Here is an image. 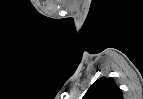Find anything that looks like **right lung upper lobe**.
Returning a JSON list of instances; mask_svg holds the SVG:
<instances>
[{
  "instance_id": "right-lung-upper-lobe-1",
  "label": "right lung upper lobe",
  "mask_w": 143,
  "mask_h": 99,
  "mask_svg": "<svg viewBox=\"0 0 143 99\" xmlns=\"http://www.w3.org/2000/svg\"><path fill=\"white\" fill-rule=\"evenodd\" d=\"M82 99H123V95L113 78L101 77L90 86Z\"/></svg>"
}]
</instances>
